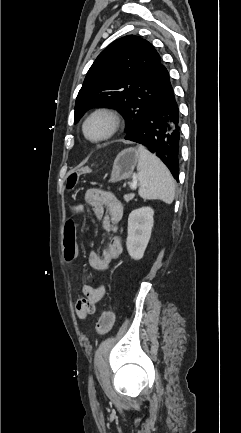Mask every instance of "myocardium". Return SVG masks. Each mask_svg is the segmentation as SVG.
Instances as JSON below:
<instances>
[{
    "mask_svg": "<svg viewBox=\"0 0 241 433\" xmlns=\"http://www.w3.org/2000/svg\"><path fill=\"white\" fill-rule=\"evenodd\" d=\"M104 119L107 123L105 132L98 137H90L87 133V126L95 119ZM123 119L121 115L114 109L108 107H100L90 112L82 123V134L84 138L93 144H100L113 138L121 129Z\"/></svg>",
    "mask_w": 241,
    "mask_h": 433,
    "instance_id": "1",
    "label": "myocardium"
}]
</instances>
